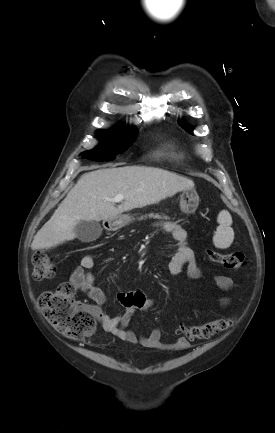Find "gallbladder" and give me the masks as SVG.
<instances>
[{
  "label": "gallbladder",
  "mask_w": 275,
  "mask_h": 433,
  "mask_svg": "<svg viewBox=\"0 0 275 433\" xmlns=\"http://www.w3.org/2000/svg\"><path fill=\"white\" fill-rule=\"evenodd\" d=\"M75 233L80 241L88 243L101 236L102 228L98 221H81L76 225Z\"/></svg>",
  "instance_id": "1"
}]
</instances>
